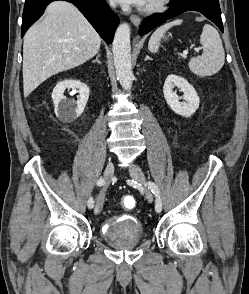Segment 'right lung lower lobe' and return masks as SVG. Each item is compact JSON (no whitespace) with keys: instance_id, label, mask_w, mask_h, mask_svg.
<instances>
[{"instance_id":"right-lung-lower-lobe-1","label":"right lung lower lobe","mask_w":249,"mask_h":294,"mask_svg":"<svg viewBox=\"0 0 249 294\" xmlns=\"http://www.w3.org/2000/svg\"><path fill=\"white\" fill-rule=\"evenodd\" d=\"M56 0H26L23 16L21 36L44 13L46 6ZM73 3L91 23L99 35L107 43H112L113 36L120 19L113 13L105 0H64Z\"/></svg>"}]
</instances>
